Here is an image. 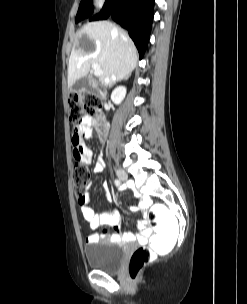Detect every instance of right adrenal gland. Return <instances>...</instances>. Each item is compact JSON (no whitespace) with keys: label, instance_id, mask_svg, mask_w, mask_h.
<instances>
[{"label":"right adrenal gland","instance_id":"1","mask_svg":"<svg viewBox=\"0 0 247 304\" xmlns=\"http://www.w3.org/2000/svg\"><path fill=\"white\" fill-rule=\"evenodd\" d=\"M117 81H119V80H117ZM114 83H115V82H113V84H114ZM113 84H112V85H113ZM112 85H111V86H112ZM111 86H110V87H111Z\"/></svg>","mask_w":247,"mask_h":304}]
</instances>
